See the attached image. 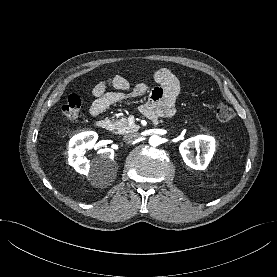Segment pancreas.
Instances as JSON below:
<instances>
[{"label": "pancreas", "instance_id": "1", "mask_svg": "<svg viewBox=\"0 0 277 277\" xmlns=\"http://www.w3.org/2000/svg\"><path fill=\"white\" fill-rule=\"evenodd\" d=\"M113 129L118 134H125L128 132L136 131L138 128L134 125H130L126 117L112 119Z\"/></svg>", "mask_w": 277, "mask_h": 277}]
</instances>
